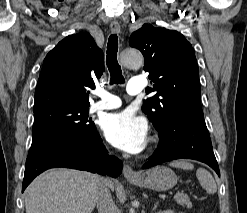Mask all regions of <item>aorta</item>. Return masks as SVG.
I'll return each instance as SVG.
<instances>
[{
    "mask_svg": "<svg viewBox=\"0 0 247 213\" xmlns=\"http://www.w3.org/2000/svg\"><path fill=\"white\" fill-rule=\"evenodd\" d=\"M121 61L125 67L139 68L143 65L142 54L135 49H126L121 53Z\"/></svg>",
    "mask_w": 247,
    "mask_h": 213,
    "instance_id": "762f6f07",
    "label": "aorta"
}]
</instances>
